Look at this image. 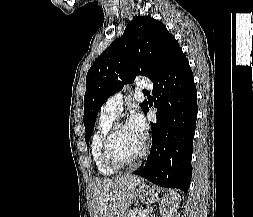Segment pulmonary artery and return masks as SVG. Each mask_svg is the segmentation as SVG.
I'll return each mask as SVG.
<instances>
[{
	"label": "pulmonary artery",
	"mask_w": 253,
	"mask_h": 217,
	"mask_svg": "<svg viewBox=\"0 0 253 217\" xmlns=\"http://www.w3.org/2000/svg\"><path fill=\"white\" fill-rule=\"evenodd\" d=\"M137 86L141 89L151 90L153 85L151 81L147 79H141L137 82ZM123 105V95L121 92H118L112 96H110L107 101L104 103L101 113L110 115L113 117H118L122 111Z\"/></svg>",
	"instance_id": "1"
}]
</instances>
